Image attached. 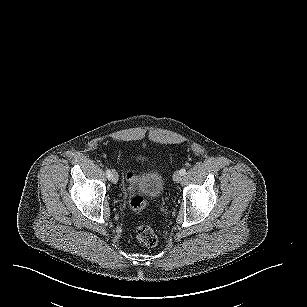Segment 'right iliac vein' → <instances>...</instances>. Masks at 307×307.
I'll return each instance as SVG.
<instances>
[{"instance_id":"63e3f726","label":"right iliac vein","mask_w":307,"mask_h":307,"mask_svg":"<svg viewBox=\"0 0 307 307\" xmlns=\"http://www.w3.org/2000/svg\"><path fill=\"white\" fill-rule=\"evenodd\" d=\"M111 174H112V182L116 184L118 182V179H119L118 173L116 172L115 169H112Z\"/></svg>"}]
</instances>
